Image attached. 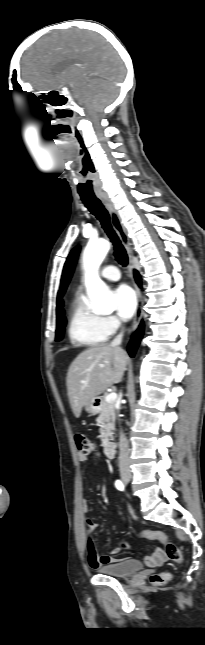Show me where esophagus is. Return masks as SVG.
<instances>
[{
    "instance_id": "1",
    "label": "esophagus",
    "mask_w": 205,
    "mask_h": 645,
    "mask_svg": "<svg viewBox=\"0 0 205 645\" xmlns=\"http://www.w3.org/2000/svg\"><path fill=\"white\" fill-rule=\"evenodd\" d=\"M98 198L103 203L105 208L108 210V212L110 214V217H111L112 225H113L116 233L118 234L122 244L124 245V247L127 250V253H128V256H129L128 269H129L130 276L133 277L134 265H133L132 249H131V243H130L129 237H128L127 233H126V230H125V228H124V226H123V224L121 222V219H120L116 209L114 208L110 198L106 194H99ZM135 292H136V297H137V308H136V312H135L131 332H134L137 329V327H138V325L140 323V320L142 318V313H143L141 291H140L139 287L136 284H135Z\"/></svg>"
}]
</instances>
